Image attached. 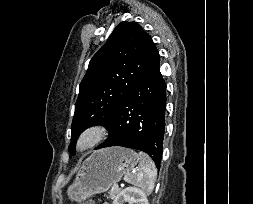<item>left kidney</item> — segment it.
I'll use <instances>...</instances> for the list:
<instances>
[{
  "mask_svg": "<svg viewBox=\"0 0 253 204\" xmlns=\"http://www.w3.org/2000/svg\"><path fill=\"white\" fill-rule=\"evenodd\" d=\"M149 204L146 193L136 187H127L123 189L114 199L113 204Z\"/></svg>",
  "mask_w": 253,
  "mask_h": 204,
  "instance_id": "5707ae66",
  "label": "left kidney"
}]
</instances>
